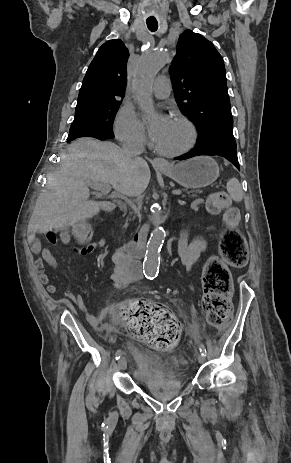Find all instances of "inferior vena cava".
<instances>
[{
  "mask_svg": "<svg viewBox=\"0 0 291 463\" xmlns=\"http://www.w3.org/2000/svg\"><path fill=\"white\" fill-rule=\"evenodd\" d=\"M144 146L140 142H130L123 144L124 152L132 159H138L139 155L144 151Z\"/></svg>",
  "mask_w": 291,
  "mask_h": 463,
  "instance_id": "obj_1",
  "label": "inferior vena cava"
}]
</instances>
